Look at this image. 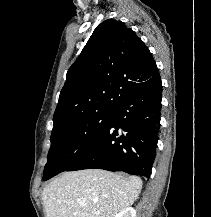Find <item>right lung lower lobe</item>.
<instances>
[{
  "label": "right lung lower lobe",
  "instance_id": "98d812e1",
  "mask_svg": "<svg viewBox=\"0 0 211 217\" xmlns=\"http://www.w3.org/2000/svg\"><path fill=\"white\" fill-rule=\"evenodd\" d=\"M160 76L130 94L115 110L100 140L66 171L104 169L149 178L160 126Z\"/></svg>",
  "mask_w": 211,
  "mask_h": 217
}]
</instances>
